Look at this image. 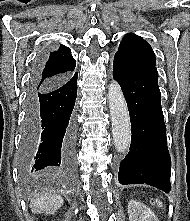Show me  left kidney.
<instances>
[{
  "instance_id": "5707ae66",
  "label": "left kidney",
  "mask_w": 190,
  "mask_h": 221,
  "mask_svg": "<svg viewBox=\"0 0 190 221\" xmlns=\"http://www.w3.org/2000/svg\"><path fill=\"white\" fill-rule=\"evenodd\" d=\"M129 221H159L157 216L141 202L130 200L128 204Z\"/></svg>"
}]
</instances>
